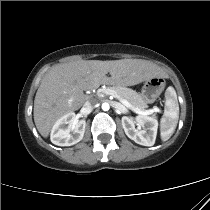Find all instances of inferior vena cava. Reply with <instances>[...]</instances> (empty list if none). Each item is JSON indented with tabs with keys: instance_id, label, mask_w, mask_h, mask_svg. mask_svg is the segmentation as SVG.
<instances>
[{
	"instance_id": "602c4592",
	"label": "inferior vena cava",
	"mask_w": 210,
	"mask_h": 210,
	"mask_svg": "<svg viewBox=\"0 0 210 210\" xmlns=\"http://www.w3.org/2000/svg\"><path fill=\"white\" fill-rule=\"evenodd\" d=\"M96 103H97V101L95 99L87 100L83 105V109L87 113H90L92 111L93 107L96 105Z\"/></svg>"
}]
</instances>
